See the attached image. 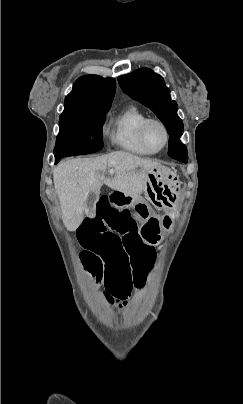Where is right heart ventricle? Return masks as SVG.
<instances>
[{"instance_id":"1","label":"right heart ventricle","mask_w":243,"mask_h":404,"mask_svg":"<svg viewBox=\"0 0 243 404\" xmlns=\"http://www.w3.org/2000/svg\"><path fill=\"white\" fill-rule=\"evenodd\" d=\"M147 117L137 105H129L110 120L111 137L114 146L125 153L136 156H153L157 151L145 146L139 138V126Z\"/></svg>"}]
</instances>
